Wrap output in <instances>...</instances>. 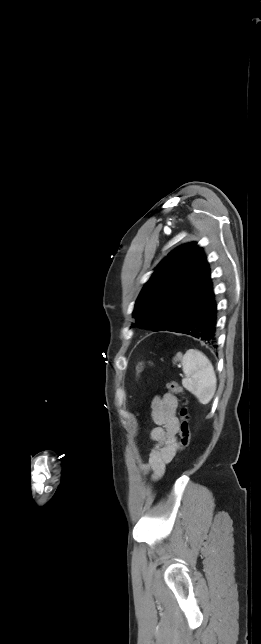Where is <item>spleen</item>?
<instances>
[{"label":"spleen","instance_id":"obj_1","mask_svg":"<svg viewBox=\"0 0 261 644\" xmlns=\"http://www.w3.org/2000/svg\"><path fill=\"white\" fill-rule=\"evenodd\" d=\"M180 361L185 378L182 385L192 393L201 404H208L213 398L217 379L209 359L200 351L189 349L183 355L178 352L174 362Z\"/></svg>","mask_w":261,"mask_h":644}]
</instances>
